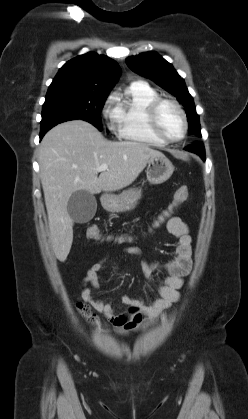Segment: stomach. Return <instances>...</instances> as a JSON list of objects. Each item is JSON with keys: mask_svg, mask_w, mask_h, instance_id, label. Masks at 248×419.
Wrapping results in <instances>:
<instances>
[{"mask_svg": "<svg viewBox=\"0 0 248 419\" xmlns=\"http://www.w3.org/2000/svg\"><path fill=\"white\" fill-rule=\"evenodd\" d=\"M173 171V164L165 156L151 157L146 169L147 180L151 184H161L170 178ZM141 195V189L133 188L119 195L106 196L102 204L110 212H126L135 208Z\"/></svg>", "mask_w": 248, "mask_h": 419, "instance_id": "obj_1", "label": "stomach"}]
</instances>
